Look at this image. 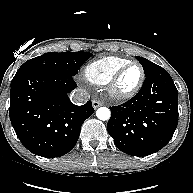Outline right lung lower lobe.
<instances>
[{
	"label": "right lung lower lobe",
	"mask_w": 193,
	"mask_h": 193,
	"mask_svg": "<svg viewBox=\"0 0 193 193\" xmlns=\"http://www.w3.org/2000/svg\"><path fill=\"white\" fill-rule=\"evenodd\" d=\"M73 77L44 71L16 74L11 82L9 115L21 143L32 153L60 157L76 144L83 122L94 108L91 101L76 106L68 94Z\"/></svg>",
	"instance_id": "98d812e1"
}]
</instances>
